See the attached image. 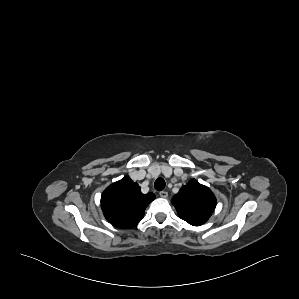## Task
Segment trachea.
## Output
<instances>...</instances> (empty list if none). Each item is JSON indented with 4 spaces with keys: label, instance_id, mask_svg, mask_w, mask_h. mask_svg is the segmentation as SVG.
Instances as JSON below:
<instances>
[{
    "label": "trachea",
    "instance_id": "3493384b",
    "mask_svg": "<svg viewBox=\"0 0 299 299\" xmlns=\"http://www.w3.org/2000/svg\"><path fill=\"white\" fill-rule=\"evenodd\" d=\"M154 186H155L156 190L162 191L165 188V186H166L165 180L163 178L159 177L155 181Z\"/></svg>",
    "mask_w": 299,
    "mask_h": 299
}]
</instances>
